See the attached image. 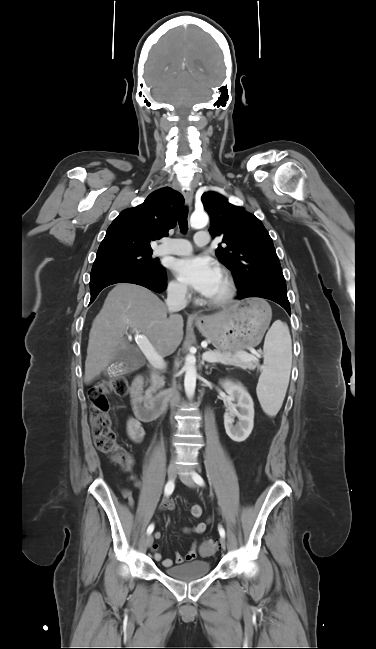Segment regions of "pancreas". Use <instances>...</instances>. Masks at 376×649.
Segmentation results:
<instances>
[{"instance_id": "cf45deb5", "label": "pancreas", "mask_w": 376, "mask_h": 649, "mask_svg": "<svg viewBox=\"0 0 376 649\" xmlns=\"http://www.w3.org/2000/svg\"><path fill=\"white\" fill-rule=\"evenodd\" d=\"M206 353H216V354H222V355L230 354L231 355L230 352L222 353V352H220L218 350L207 351L204 354H206ZM237 353L244 354L245 352L244 351H239ZM218 362L221 363V364H224V365H230V366L239 367V368H242L244 370H246V369L255 370V368L257 366L258 359L255 360V361H244V360H229V359H226L225 357H223V360H220ZM164 384H165L164 377L161 376L157 372H152L151 379H150V387L148 388L147 393L149 395H152L153 393H156L157 390H159L160 388H162L164 386Z\"/></svg>"}]
</instances>
